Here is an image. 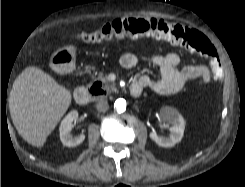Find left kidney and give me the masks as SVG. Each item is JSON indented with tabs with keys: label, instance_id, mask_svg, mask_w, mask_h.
I'll return each mask as SVG.
<instances>
[{
	"label": "left kidney",
	"instance_id": "obj_1",
	"mask_svg": "<svg viewBox=\"0 0 245 187\" xmlns=\"http://www.w3.org/2000/svg\"><path fill=\"white\" fill-rule=\"evenodd\" d=\"M159 115L163 121H166L169 124H171L170 136H160L156 133V131H152L149 134V136L159 146L172 147L176 143L180 142L183 137L185 129V120L176 108L168 106L162 107Z\"/></svg>",
	"mask_w": 245,
	"mask_h": 187
}]
</instances>
